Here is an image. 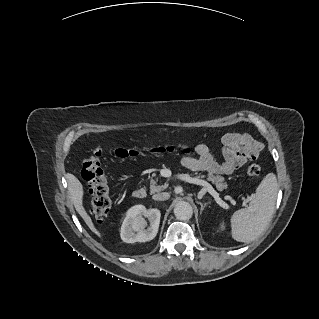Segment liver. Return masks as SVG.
Here are the masks:
<instances>
[{"label": "liver", "instance_id": "liver-1", "mask_svg": "<svg viewBox=\"0 0 319 319\" xmlns=\"http://www.w3.org/2000/svg\"><path fill=\"white\" fill-rule=\"evenodd\" d=\"M68 187L71 200L75 206L76 211L83 218L86 225L94 232L97 236H101L100 232L95 228L91 217L87 214L85 208L83 207V186L80 181L72 174H68Z\"/></svg>", "mask_w": 319, "mask_h": 319}]
</instances>
